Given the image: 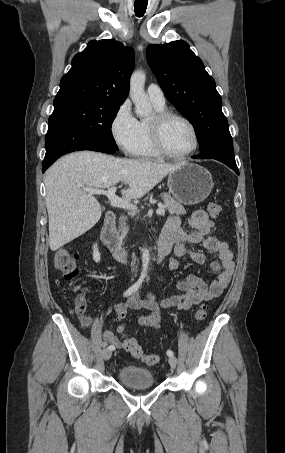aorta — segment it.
Returning a JSON list of instances; mask_svg holds the SVG:
<instances>
[{
  "label": "aorta",
  "instance_id": "1",
  "mask_svg": "<svg viewBox=\"0 0 285 453\" xmlns=\"http://www.w3.org/2000/svg\"><path fill=\"white\" fill-rule=\"evenodd\" d=\"M146 75L142 70L133 72L130 79V97L135 105V112L139 117L148 116L151 105L144 92ZM150 261V252L147 248L142 249V273H146Z\"/></svg>",
  "mask_w": 285,
  "mask_h": 453
}]
</instances>
